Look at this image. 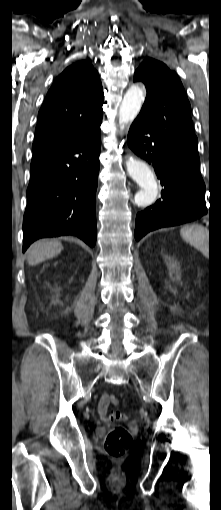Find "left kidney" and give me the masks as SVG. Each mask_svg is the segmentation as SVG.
Instances as JSON below:
<instances>
[{
    "mask_svg": "<svg viewBox=\"0 0 221 510\" xmlns=\"http://www.w3.org/2000/svg\"><path fill=\"white\" fill-rule=\"evenodd\" d=\"M166 263L170 268H177L178 266V263L172 260L171 258L166 259Z\"/></svg>",
    "mask_w": 221,
    "mask_h": 510,
    "instance_id": "5707ae66",
    "label": "left kidney"
}]
</instances>
